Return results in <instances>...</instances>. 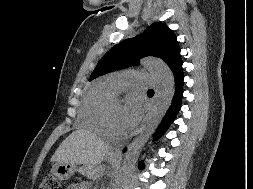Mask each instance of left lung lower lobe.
Instances as JSON below:
<instances>
[{
    "label": "left lung lower lobe",
    "instance_id": "obj_1",
    "mask_svg": "<svg viewBox=\"0 0 253 189\" xmlns=\"http://www.w3.org/2000/svg\"><path fill=\"white\" fill-rule=\"evenodd\" d=\"M173 74L175 77V94L172 100V104L169 107L163 121L161 122L158 130L157 135H160L166 131V129L170 126V124L175 119L182 101V95H183V69H182V62L173 70ZM126 151V149H124ZM139 168H143V164L140 163Z\"/></svg>",
    "mask_w": 253,
    "mask_h": 189
}]
</instances>
